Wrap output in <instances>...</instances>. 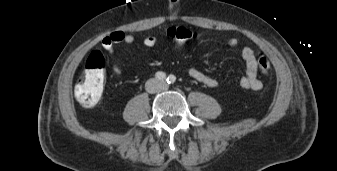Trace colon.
<instances>
[{"label":"colon","mask_w":337,"mask_h":171,"mask_svg":"<svg viewBox=\"0 0 337 171\" xmlns=\"http://www.w3.org/2000/svg\"><path fill=\"white\" fill-rule=\"evenodd\" d=\"M166 33L177 42H185L194 36L183 27H170ZM257 66L264 74L270 70V63L263 54L258 55ZM105 67V57L100 51L95 50L88 56L83 74L75 85V95L82 106L94 107L99 103L105 82Z\"/></svg>","instance_id":"colon-1"}]
</instances>
